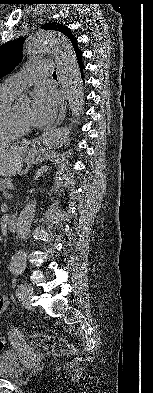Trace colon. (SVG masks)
Returning <instances> with one entry per match:
<instances>
[{
	"label": "colon",
	"instance_id": "1",
	"mask_svg": "<svg viewBox=\"0 0 153 393\" xmlns=\"http://www.w3.org/2000/svg\"><path fill=\"white\" fill-rule=\"evenodd\" d=\"M2 302L0 303V307L2 306ZM13 333H18L17 331H13ZM28 342L30 345L39 347L43 349L45 352L55 355V356H69L74 353V349L72 346L67 344L63 339L55 337L43 335L40 333H32L28 336ZM6 345L5 337L0 334V351L4 349Z\"/></svg>",
	"mask_w": 153,
	"mask_h": 393
}]
</instances>
